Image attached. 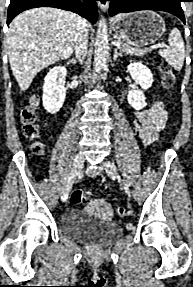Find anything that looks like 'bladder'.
Here are the masks:
<instances>
[{
	"label": "bladder",
	"mask_w": 193,
	"mask_h": 287,
	"mask_svg": "<svg viewBox=\"0 0 193 287\" xmlns=\"http://www.w3.org/2000/svg\"><path fill=\"white\" fill-rule=\"evenodd\" d=\"M60 231L79 242L103 244L117 238L122 227L111 220L86 215L84 210L70 209L61 218Z\"/></svg>",
	"instance_id": "1"
}]
</instances>
